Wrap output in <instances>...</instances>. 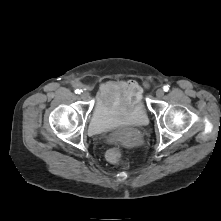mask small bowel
Instances as JSON below:
<instances>
[{"instance_id": "c3829d8e", "label": "small bowel", "mask_w": 221, "mask_h": 221, "mask_svg": "<svg viewBox=\"0 0 221 221\" xmlns=\"http://www.w3.org/2000/svg\"><path fill=\"white\" fill-rule=\"evenodd\" d=\"M110 101L121 98L128 106L135 105L141 98L142 88L134 80L107 82L101 86Z\"/></svg>"}]
</instances>
